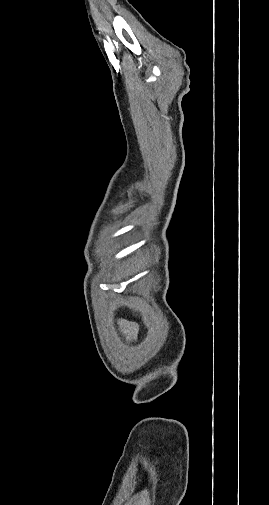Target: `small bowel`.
Returning <instances> with one entry per match:
<instances>
[{"instance_id":"1","label":"small bowel","mask_w":269,"mask_h":505,"mask_svg":"<svg viewBox=\"0 0 269 505\" xmlns=\"http://www.w3.org/2000/svg\"><path fill=\"white\" fill-rule=\"evenodd\" d=\"M121 326L123 327L124 331L129 334H135L137 330V327L135 325L126 322H121Z\"/></svg>"}]
</instances>
